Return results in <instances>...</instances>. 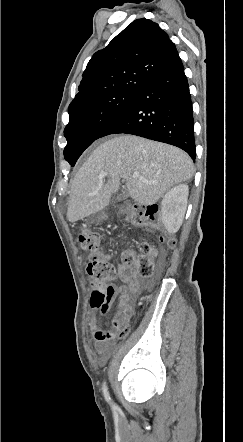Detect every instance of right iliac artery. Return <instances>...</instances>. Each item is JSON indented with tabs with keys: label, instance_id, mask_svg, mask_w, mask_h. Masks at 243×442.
<instances>
[{
	"label": "right iliac artery",
	"instance_id": "1",
	"mask_svg": "<svg viewBox=\"0 0 243 442\" xmlns=\"http://www.w3.org/2000/svg\"><path fill=\"white\" fill-rule=\"evenodd\" d=\"M103 394L107 402L111 405L112 409H116V405L111 401L106 383L103 384Z\"/></svg>",
	"mask_w": 243,
	"mask_h": 442
}]
</instances>
